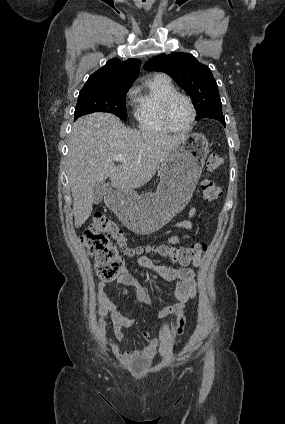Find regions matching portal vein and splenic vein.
Returning <instances> with one entry per match:
<instances>
[{
  "mask_svg": "<svg viewBox=\"0 0 285 424\" xmlns=\"http://www.w3.org/2000/svg\"><path fill=\"white\" fill-rule=\"evenodd\" d=\"M116 161H125L124 155L123 154H119L118 156L115 157Z\"/></svg>",
  "mask_w": 285,
  "mask_h": 424,
  "instance_id": "portal-vein-and-splenic-vein-1",
  "label": "portal vein and splenic vein"
}]
</instances>
